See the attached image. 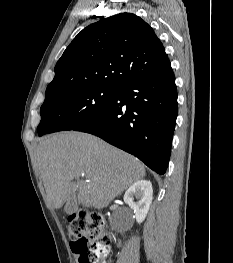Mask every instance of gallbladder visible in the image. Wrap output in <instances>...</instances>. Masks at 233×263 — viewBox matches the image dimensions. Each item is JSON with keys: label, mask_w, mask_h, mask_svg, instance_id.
I'll use <instances>...</instances> for the list:
<instances>
[{"label": "gallbladder", "mask_w": 233, "mask_h": 263, "mask_svg": "<svg viewBox=\"0 0 233 263\" xmlns=\"http://www.w3.org/2000/svg\"><path fill=\"white\" fill-rule=\"evenodd\" d=\"M78 209V203L74 196H70L69 200L67 201L64 211L66 214L71 215L75 213Z\"/></svg>", "instance_id": "1"}]
</instances>
